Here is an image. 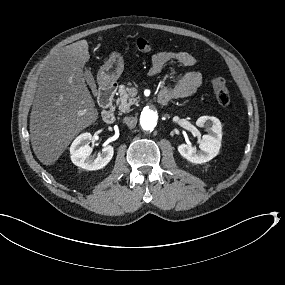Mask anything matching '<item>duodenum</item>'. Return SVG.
<instances>
[{
  "mask_svg": "<svg viewBox=\"0 0 285 285\" xmlns=\"http://www.w3.org/2000/svg\"><path fill=\"white\" fill-rule=\"evenodd\" d=\"M116 89L117 85L114 82H105L100 87L98 99L103 108L101 116L106 123H112L115 119V112L112 104Z\"/></svg>",
  "mask_w": 285,
  "mask_h": 285,
  "instance_id": "duodenum-1",
  "label": "duodenum"
}]
</instances>
